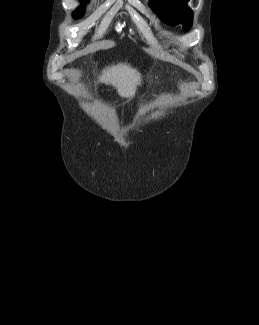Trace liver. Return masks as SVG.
<instances>
[{
	"instance_id": "obj_1",
	"label": "liver",
	"mask_w": 259,
	"mask_h": 325,
	"mask_svg": "<svg viewBox=\"0 0 259 325\" xmlns=\"http://www.w3.org/2000/svg\"><path fill=\"white\" fill-rule=\"evenodd\" d=\"M99 80L114 86L120 96L132 98L137 86L141 84V75L130 65L119 63L104 69Z\"/></svg>"
}]
</instances>
